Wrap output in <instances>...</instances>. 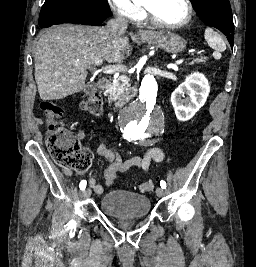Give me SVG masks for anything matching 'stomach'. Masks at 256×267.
<instances>
[{"label":"stomach","mask_w":256,"mask_h":267,"mask_svg":"<svg viewBox=\"0 0 256 267\" xmlns=\"http://www.w3.org/2000/svg\"><path fill=\"white\" fill-rule=\"evenodd\" d=\"M144 38L145 36H140L139 40H144ZM147 42L153 46H158L169 54H178L186 48V40L177 34H172V32H158V34H154L153 38L148 36Z\"/></svg>","instance_id":"stomach-1"}]
</instances>
